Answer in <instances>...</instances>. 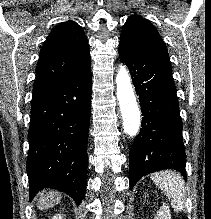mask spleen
<instances>
[{
    "label": "spleen",
    "mask_w": 211,
    "mask_h": 219,
    "mask_svg": "<svg viewBox=\"0 0 211 219\" xmlns=\"http://www.w3.org/2000/svg\"><path fill=\"white\" fill-rule=\"evenodd\" d=\"M154 183L163 191L176 212L184 209L186 188L183 178L176 172L165 170L151 175Z\"/></svg>",
    "instance_id": "obj_1"
}]
</instances>
